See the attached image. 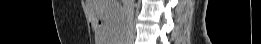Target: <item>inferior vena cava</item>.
Masks as SVG:
<instances>
[{"label":"inferior vena cava","instance_id":"602c4592","mask_svg":"<svg viewBox=\"0 0 261 44\" xmlns=\"http://www.w3.org/2000/svg\"><path fill=\"white\" fill-rule=\"evenodd\" d=\"M134 0H129L130 4L125 8L126 13V21H125V36L126 38H132L134 34V25H133V16H134V8L133 3Z\"/></svg>","mask_w":261,"mask_h":44}]
</instances>
